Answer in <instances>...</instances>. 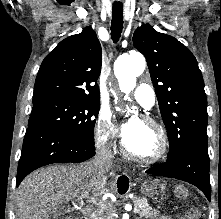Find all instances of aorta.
<instances>
[{"label": "aorta", "instance_id": "762f6f07", "mask_svg": "<svg viewBox=\"0 0 221 219\" xmlns=\"http://www.w3.org/2000/svg\"><path fill=\"white\" fill-rule=\"evenodd\" d=\"M145 59L140 54L123 55L117 58L114 63V73L124 93L133 90L136 77L142 74L145 69Z\"/></svg>", "mask_w": 221, "mask_h": 219}]
</instances>
